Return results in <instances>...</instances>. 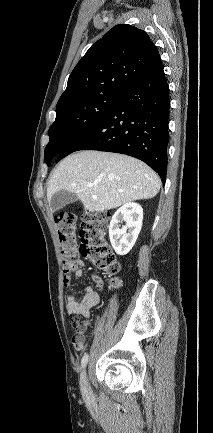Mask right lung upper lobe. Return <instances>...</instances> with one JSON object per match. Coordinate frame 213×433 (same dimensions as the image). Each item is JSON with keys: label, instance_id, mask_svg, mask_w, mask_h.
Instances as JSON below:
<instances>
[{"label": "right lung upper lobe", "instance_id": "right-lung-upper-lobe-1", "mask_svg": "<svg viewBox=\"0 0 213 433\" xmlns=\"http://www.w3.org/2000/svg\"><path fill=\"white\" fill-rule=\"evenodd\" d=\"M159 59L145 31L127 24L116 25L78 62L56 109L97 94L122 95Z\"/></svg>", "mask_w": 213, "mask_h": 433}]
</instances>
